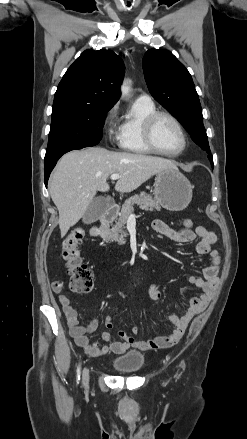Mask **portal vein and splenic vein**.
I'll return each instance as SVG.
<instances>
[{"mask_svg":"<svg viewBox=\"0 0 247 439\" xmlns=\"http://www.w3.org/2000/svg\"><path fill=\"white\" fill-rule=\"evenodd\" d=\"M119 178H121V175H120V174H112V175L110 176V179H111V180H118ZM130 217H133V214H130Z\"/></svg>","mask_w":247,"mask_h":439,"instance_id":"portal-vein-and-splenic-vein-1","label":"portal vein and splenic vein"}]
</instances>
